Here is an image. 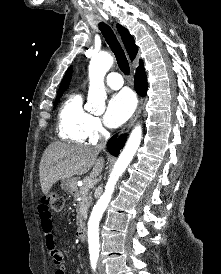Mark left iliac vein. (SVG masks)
<instances>
[{"label":"left iliac vein","mask_w":221,"mask_h":274,"mask_svg":"<svg viewBox=\"0 0 221 274\" xmlns=\"http://www.w3.org/2000/svg\"><path fill=\"white\" fill-rule=\"evenodd\" d=\"M98 274H105L104 266L101 262L98 264Z\"/></svg>","instance_id":"obj_1"}]
</instances>
